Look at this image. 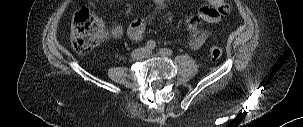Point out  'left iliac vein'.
Instances as JSON below:
<instances>
[{
	"mask_svg": "<svg viewBox=\"0 0 303 127\" xmlns=\"http://www.w3.org/2000/svg\"><path fill=\"white\" fill-rule=\"evenodd\" d=\"M152 55H153V53H152V52H149V53H148V56H152Z\"/></svg>",
	"mask_w": 303,
	"mask_h": 127,
	"instance_id": "left-iliac-vein-1",
	"label": "left iliac vein"
}]
</instances>
